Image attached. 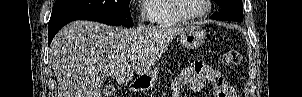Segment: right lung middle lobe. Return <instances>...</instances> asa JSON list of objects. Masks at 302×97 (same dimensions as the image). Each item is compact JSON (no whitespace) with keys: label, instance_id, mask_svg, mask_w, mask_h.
<instances>
[{"label":"right lung middle lobe","instance_id":"1","mask_svg":"<svg viewBox=\"0 0 302 97\" xmlns=\"http://www.w3.org/2000/svg\"><path fill=\"white\" fill-rule=\"evenodd\" d=\"M131 0H57L49 22L76 16L98 15L120 25L133 26L129 3Z\"/></svg>","mask_w":302,"mask_h":97}]
</instances>
